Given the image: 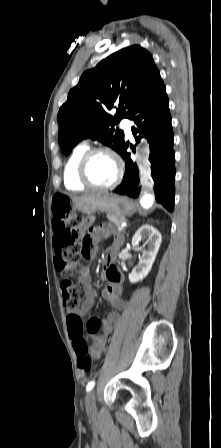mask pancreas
Wrapping results in <instances>:
<instances>
[{
    "label": "pancreas",
    "instance_id": "cf45deb5",
    "mask_svg": "<svg viewBox=\"0 0 221 448\" xmlns=\"http://www.w3.org/2000/svg\"><path fill=\"white\" fill-rule=\"evenodd\" d=\"M109 221L111 223H113L117 228L120 226L121 223L126 221L125 217H118V216H114V215H108L107 216Z\"/></svg>",
    "mask_w": 221,
    "mask_h": 448
}]
</instances>
